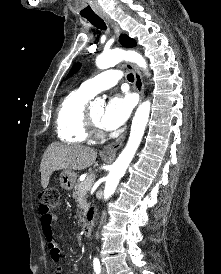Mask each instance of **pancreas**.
Wrapping results in <instances>:
<instances>
[{
  "label": "pancreas",
  "mask_w": 221,
  "mask_h": 274,
  "mask_svg": "<svg viewBox=\"0 0 221 274\" xmlns=\"http://www.w3.org/2000/svg\"><path fill=\"white\" fill-rule=\"evenodd\" d=\"M86 184L87 179L83 182H77L73 191V198L78 202V206L84 211L87 209L86 194L88 190L84 189Z\"/></svg>",
  "instance_id": "pancreas-1"
}]
</instances>
